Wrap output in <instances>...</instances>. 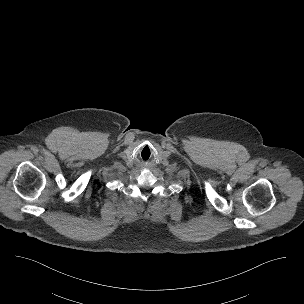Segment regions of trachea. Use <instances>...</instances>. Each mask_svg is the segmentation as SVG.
<instances>
[{"label":"trachea","instance_id":"1","mask_svg":"<svg viewBox=\"0 0 304 304\" xmlns=\"http://www.w3.org/2000/svg\"><path fill=\"white\" fill-rule=\"evenodd\" d=\"M153 155V152L150 148L145 147L140 149L139 151V158L141 161L146 162L149 160V158H151Z\"/></svg>","mask_w":304,"mask_h":304}]
</instances>
